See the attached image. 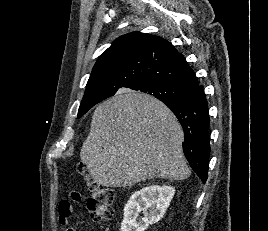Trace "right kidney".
Masks as SVG:
<instances>
[{
	"label": "right kidney",
	"mask_w": 268,
	"mask_h": 231,
	"mask_svg": "<svg viewBox=\"0 0 268 231\" xmlns=\"http://www.w3.org/2000/svg\"><path fill=\"white\" fill-rule=\"evenodd\" d=\"M175 194L167 185H151L132 194L124 208L121 231H145L164 216ZM144 217L138 219L140 213Z\"/></svg>",
	"instance_id": "right-kidney-1"
}]
</instances>
